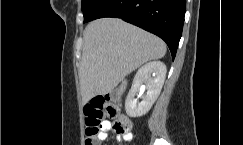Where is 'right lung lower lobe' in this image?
<instances>
[{
    "mask_svg": "<svg viewBox=\"0 0 243 145\" xmlns=\"http://www.w3.org/2000/svg\"><path fill=\"white\" fill-rule=\"evenodd\" d=\"M186 0H93L83 11L84 22L116 17L162 38L175 58L182 35Z\"/></svg>",
    "mask_w": 243,
    "mask_h": 145,
    "instance_id": "obj_1",
    "label": "right lung lower lobe"
}]
</instances>
